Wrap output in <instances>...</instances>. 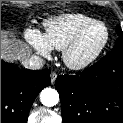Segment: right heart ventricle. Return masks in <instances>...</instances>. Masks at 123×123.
<instances>
[{
	"label": "right heart ventricle",
	"instance_id": "obj_1",
	"mask_svg": "<svg viewBox=\"0 0 123 123\" xmlns=\"http://www.w3.org/2000/svg\"><path fill=\"white\" fill-rule=\"evenodd\" d=\"M94 21L79 13L61 14L43 22V35L51 49L62 51L79 30Z\"/></svg>",
	"mask_w": 123,
	"mask_h": 123
}]
</instances>
